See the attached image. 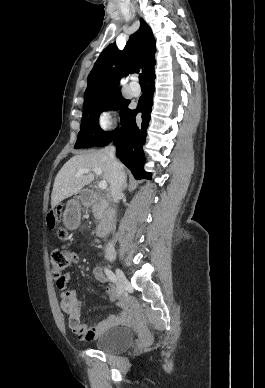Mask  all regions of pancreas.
I'll return each instance as SVG.
<instances>
[{"label":"pancreas","instance_id":"1","mask_svg":"<svg viewBox=\"0 0 265 388\" xmlns=\"http://www.w3.org/2000/svg\"><path fill=\"white\" fill-rule=\"evenodd\" d=\"M108 206L106 204V202H104V200H102V202H100V204H97V206H93V214H94V218H96V220H101L104 212H106Z\"/></svg>","mask_w":265,"mask_h":388}]
</instances>
